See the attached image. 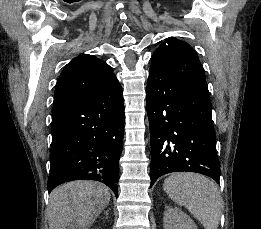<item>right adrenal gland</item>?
<instances>
[{
	"mask_svg": "<svg viewBox=\"0 0 261 229\" xmlns=\"http://www.w3.org/2000/svg\"><path fill=\"white\" fill-rule=\"evenodd\" d=\"M105 215H109L108 211H104Z\"/></svg>",
	"mask_w": 261,
	"mask_h": 229,
	"instance_id": "1",
	"label": "right adrenal gland"
}]
</instances>
